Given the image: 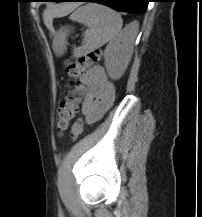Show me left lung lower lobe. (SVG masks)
I'll return each instance as SVG.
<instances>
[{"label":"left lung lower lobe","mask_w":202,"mask_h":217,"mask_svg":"<svg viewBox=\"0 0 202 217\" xmlns=\"http://www.w3.org/2000/svg\"><path fill=\"white\" fill-rule=\"evenodd\" d=\"M55 2H96L120 12L145 13L149 0H54Z\"/></svg>","instance_id":"1"}]
</instances>
